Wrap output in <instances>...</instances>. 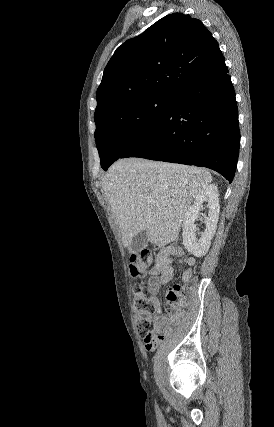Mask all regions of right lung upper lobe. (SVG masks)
Returning <instances> with one entry per match:
<instances>
[{
    "instance_id": "cb5924a9",
    "label": "right lung upper lobe",
    "mask_w": 274,
    "mask_h": 427,
    "mask_svg": "<svg viewBox=\"0 0 274 427\" xmlns=\"http://www.w3.org/2000/svg\"><path fill=\"white\" fill-rule=\"evenodd\" d=\"M226 67L217 41L199 19L167 15L119 46L96 92L95 117L140 95H175Z\"/></svg>"
}]
</instances>
